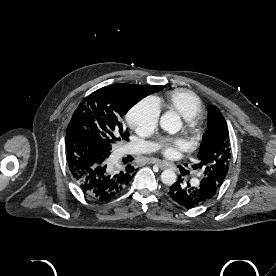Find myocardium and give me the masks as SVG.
<instances>
[{"instance_id": "1", "label": "myocardium", "mask_w": 276, "mask_h": 276, "mask_svg": "<svg viewBox=\"0 0 276 276\" xmlns=\"http://www.w3.org/2000/svg\"><path fill=\"white\" fill-rule=\"evenodd\" d=\"M185 132L189 136L191 143H194L200 136L201 124L198 117H192L186 120Z\"/></svg>"}]
</instances>
